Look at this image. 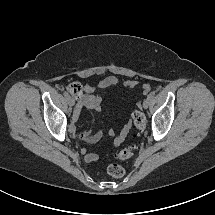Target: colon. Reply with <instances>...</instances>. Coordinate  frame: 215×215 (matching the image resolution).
Masks as SVG:
<instances>
[{"label":"colon","mask_w":215,"mask_h":215,"mask_svg":"<svg viewBox=\"0 0 215 215\" xmlns=\"http://www.w3.org/2000/svg\"><path fill=\"white\" fill-rule=\"evenodd\" d=\"M68 90L74 96H77L81 92L82 86L77 82H73L68 86ZM132 118L137 131L139 132L143 131L145 128V117L142 114V112L136 110L133 113ZM134 149H135L134 145H127L120 151L116 152L114 157L118 160L128 159L133 155ZM107 172L110 176L119 178L124 175L125 170L119 163H112L108 166Z\"/></svg>","instance_id":"5ec220e1"}]
</instances>
